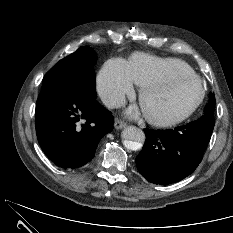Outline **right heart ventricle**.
Segmentation results:
<instances>
[{
	"mask_svg": "<svg viewBox=\"0 0 233 233\" xmlns=\"http://www.w3.org/2000/svg\"><path fill=\"white\" fill-rule=\"evenodd\" d=\"M126 64L133 83L139 87L165 76L194 73L191 66L180 59L145 53L133 54Z\"/></svg>",
	"mask_w": 233,
	"mask_h": 233,
	"instance_id": "right-heart-ventricle-1",
	"label": "right heart ventricle"
}]
</instances>
